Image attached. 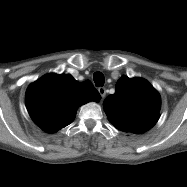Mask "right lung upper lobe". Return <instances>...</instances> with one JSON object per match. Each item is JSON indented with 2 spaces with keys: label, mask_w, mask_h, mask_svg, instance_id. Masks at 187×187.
Segmentation results:
<instances>
[{
  "label": "right lung upper lobe",
  "mask_w": 187,
  "mask_h": 187,
  "mask_svg": "<svg viewBox=\"0 0 187 187\" xmlns=\"http://www.w3.org/2000/svg\"><path fill=\"white\" fill-rule=\"evenodd\" d=\"M101 99L90 81L77 82L70 74H47L26 91V107L36 124L51 133L73 122L77 108Z\"/></svg>",
  "instance_id": "1"
}]
</instances>
